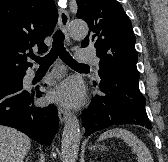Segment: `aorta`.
<instances>
[{
    "label": "aorta",
    "mask_w": 168,
    "mask_h": 162,
    "mask_svg": "<svg viewBox=\"0 0 168 162\" xmlns=\"http://www.w3.org/2000/svg\"><path fill=\"white\" fill-rule=\"evenodd\" d=\"M72 37L83 38L88 33V26L84 21L74 20L69 24ZM80 124L76 116L71 115L64 126L61 140V156L63 162H75L80 145Z\"/></svg>",
    "instance_id": "aorta-1"
}]
</instances>
